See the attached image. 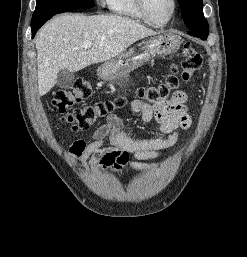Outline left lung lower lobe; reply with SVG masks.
Instances as JSON below:
<instances>
[{
  "label": "left lung lower lobe",
  "mask_w": 247,
  "mask_h": 257,
  "mask_svg": "<svg viewBox=\"0 0 247 257\" xmlns=\"http://www.w3.org/2000/svg\"><path fill=\"white\" fill-rule=\"evenodd\" d=\"M188 34L191 35V36L199 37L202 40H206V38L208 36V34H205V33L200 32V31H194V30L189 31Z\"/></svg>",
  "instance_id": "left-lung-lower-lobe-1"
}]
</instances>
